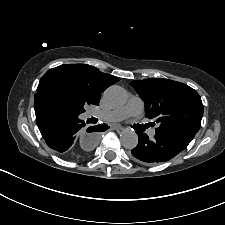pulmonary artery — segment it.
Segmentation results:
<instances>
[{
  "instance_id": "pulmonary-artery-1",
  "label": "pulmonary artery",
  "mask_w": 225,
  "mask_h": 225,
  "mask_svg": "<svg viewBox=\"0 0 225 225\" xmlns=\"http://www.w3.org/2000/svg\"><path fill=\"white\" fill-rule=\"evenodd\" d=\"M144 110V102L137 96H132L126 105L121 108L111 111H96L92 112L91 116L98 118L104 122H117L125 118L139 116ZM149 135H155V129L149 131Z\"/></svg>"
}]
</instances>
